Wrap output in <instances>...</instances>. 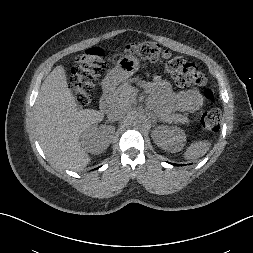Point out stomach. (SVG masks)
Returning <instances> with one entry per match:
<instances>
[{
    "label": "stomach",
    "instance_id": "stomach-1",
    "mask_svg": "<svg viewBox=\"0 0 253 253\" xmlns=\"http://www.w3.org/2000/svg\"><path fill=\"white\" fill-rule=\"evenodd\" d=\"M140 68V60L133 55H125L116 63V66L110 70L104 80V88L112 89L118 83L127 80L135 74Z\"/></svg>",
    "mask_w": 253,
    "mask_h": 253
}]
</instances>
